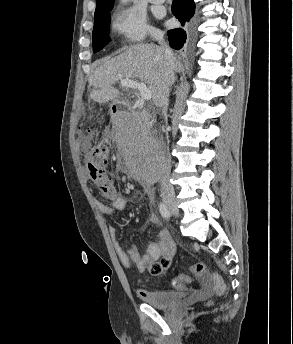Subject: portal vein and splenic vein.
Here are the masks:
<instances>
[{"mask_svg": "<svg viewBox=\"0 0 293 344\" xmlns=\"http://www.w3.org/2000/svg\"><path fill=\"white\" fill-rule=\"evenodd\" d=\"M120 85L122 87L137 89L140 92L141 99L144 101H148L151 99L150 89L146 86L145 83L138 82L135 80H130V79H122L120 81Z\"/></svg>", "mask_w": 293, "mask_h": 344, "instance_id": "1", "label": "portal vein and splenic vein"}]
</instances>
